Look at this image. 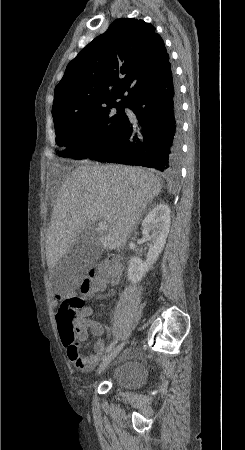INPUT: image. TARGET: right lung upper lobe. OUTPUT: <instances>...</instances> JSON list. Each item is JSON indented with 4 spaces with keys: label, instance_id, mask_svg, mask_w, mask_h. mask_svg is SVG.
I'll return each mask as SVG.
<instances>
[{
    "label": "right lung upper lobe",
    "instance_id": "1",
    "mask_svg": "<svg viewBox=\"0 0 245 450\" xmlns=\"http://www.w3.org/2000/svg\"><path fill=\"white\" fill-rule=\"evenodd\" d=\"M169 68V55L154 26L133 18L117 19L68 64L55 88L52 110L128 105Z\"/></svg>",
    "mask_w": 245,
    "mask_h": 450
}]
</instances>
